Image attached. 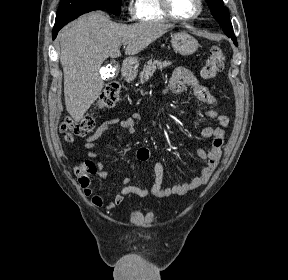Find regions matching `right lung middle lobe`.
I'll list each match as a JSON object with an SVG mask.
<instances>
[{
  "label": "right lung middle lobe",
  "mask_w": 288,
  "mask_h": 280,
  "mask_svg": "<svg viewBox=\"0 0 288 280\" xmlns=\"http://www.w3.org/2000/svg\"><path fill=\"white\" fill-rule=\"evenodd\" d=\"M87 7H100L119 16L121 0H61L56 18H59L71 11Z\"/></svg>",
  "instance_id": "obj_1"
}]
</instances>
